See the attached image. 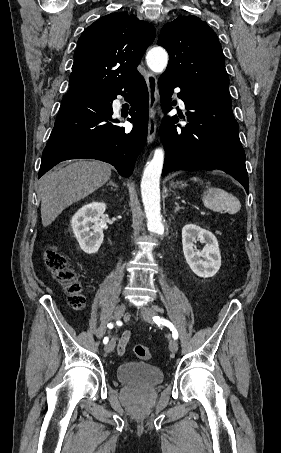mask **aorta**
<instances>
[{"label": "aorta", "instance_id": "obj_1", "mask_svg": "<svg viewBox=\"0 0 281 453\" xmlns=\"http://www.w3.org/2000/svg\"><path fill=\"white\" fill-rule=\"evenodd\" d=\"M148 67L154 73H162L168 63V54L161 47H154L146 55ZM164 162V150L157 148L143 172L141 181L142 201L145 208L148 230L152 233L163 235L160 207V177Z\"/></svg>", "mask_w": 281, "mask_h": 453}]
</instances>
